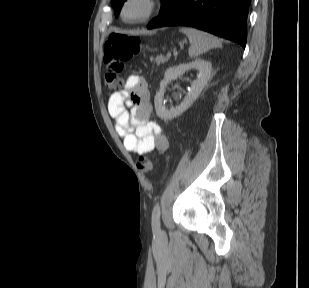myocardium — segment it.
Wrapping results in <instances>:
<instances>
[{
	"mask_svg": "<svg viewBox=\"0 0 309 288\" xmlns=\"http://www.w3.org/2000/svg\"><path fill=\"white\" fill-rule=\"evenodd\" d=\"M134 0H124L120 9V16L121 19L127 23V24H140L147 20H149L151 17H153L162 7L163 1L162 0H143L146 4V10L144 14L137 18V19H127L125 16L126 8L127 6Z\"/></svg>",
	"mask_w": 309,
	"mask_h": 288,
	"instance_id": "f54148a6",
	"label": "myocardium"
}]
</instances>
